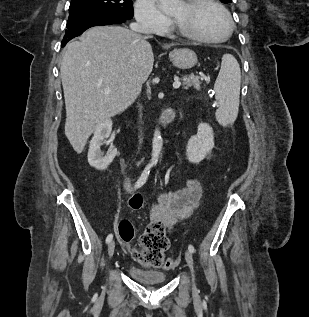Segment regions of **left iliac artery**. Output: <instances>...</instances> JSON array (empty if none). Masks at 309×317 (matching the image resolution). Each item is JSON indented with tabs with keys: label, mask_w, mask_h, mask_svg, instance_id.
Returning a JSON list of instances; mask_svg holds the SVG:
<instances>
[{
	"label": "left iliac artery",
	"mask_w": 309,
	"mask_h": 317,
	"mask_svg": "<svg viewBox=\"0 0 309 317\" xmlns=\"http://www.w3.org/2000/svg\"><path fill=\"white\" fill-rule=\"evenodd\" d=\"M188 250H189L191 253H194V252H195V248H194V246L191 245V244L188 246Z\"/></svg>",
	"instance_id": "left-iliac-artery-1"
}]
</instances>
